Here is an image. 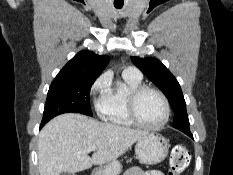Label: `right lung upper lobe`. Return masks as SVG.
<instances>
[{"mask_svg":"<svg viewBox=\"0 0 233 175\" xmlns=\"http://www.w3.org/2000/svg\"><path fill=\"white\" fill-rule=\"evenodd\" d=\"M110 58L81 51L75 55L57 74L54 81L96 79L105 69Z\"/></svg>","mask_w":233,"mask_h":175,"instance_id":"obj_1","label":"right lung upper lobe"}]
</instances>
